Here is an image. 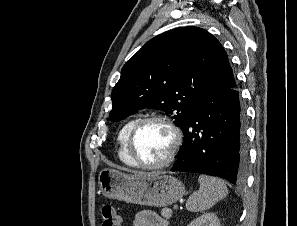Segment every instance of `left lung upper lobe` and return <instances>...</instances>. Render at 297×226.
Returning a JSON list of instances; mask_svg holds the SVG:
<instances>
[{
	"instance_id": "1",
	"label": "left lung upper lobe",
	"mask_w": 297,
	"mask_h": 226,
	"mask_svg": "<svg viewBox=\"0 0 297 226\" xmlns=\"http://www.w3.org/2000/svg\"><path fill=\"white\" fill-rule=\"evenodd\" d=\"M236 86L227 53L213 35L176 28L149 40L124 65L112 91L110 120L153 108L182 129L206 92Z\"/></svg>"
}]
</instances>
